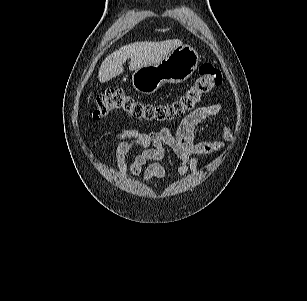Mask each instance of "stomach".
<instances>
[{
  "label": "stomach",
  "mask_w": 307,
  "mask_h": 301,
  "mask_svg": "<svg viewBox=\"0 0 307 301\" xmlns=\"http://www.w3.org/2000/svg\"><path fill=\"white\" fill-rule=\"evenodd\" d=\"M199 55L188 45H181L160 62L135 70L132 84L143 94H153L165 83H182L197 69Z\"/></svg>",
  "instance_id": "obj_1"
}]
</instances>
